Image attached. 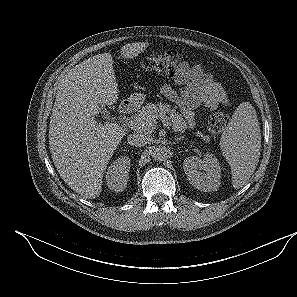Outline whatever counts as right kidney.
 Wrapping results in <instances>:
<instances>
[{
	"mask_svg": "<svg viewBox=\"0 0 297 297\" xmlns=\"http://www.w3.org/2000/svg\"><path fill=\"white\" fill-rule=\"evenodd\" d=\"M130 159L121 156L108 167L106 174V184L110 190L122 192L127 185L129 178Z\"/></svg>",
	"mask_w": 297,
	"mask_h": 297,
	"instance_id": "obj_1",
	"label": "right kidney"
}]
</instances>
